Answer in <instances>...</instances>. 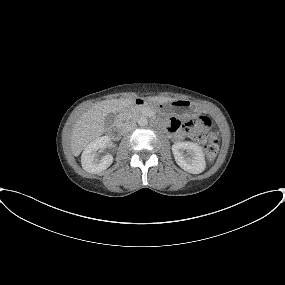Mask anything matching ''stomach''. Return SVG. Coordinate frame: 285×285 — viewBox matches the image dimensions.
<instances>
[{"label":"stomach","mask_w":285,"mask_h":285,"mask_svg":"<svg viewBox=\"0 0 285 285\" xmlns=\"http://www.w3.org/2000/svg\"><path fill=\"white\" fill-rule=\"evenodd\" d=\"M148 104L161 114L170 113L194 116L198 111L196 105L192 101L186 99H175L168 103L149 100Z\"/></svg>","instance_id":"stomach-1"}]
</instances>
